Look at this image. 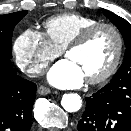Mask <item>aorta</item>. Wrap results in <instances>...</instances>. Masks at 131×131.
I'll use <instances>...</instances> for the list:
<instances>
[{
  "instance_id": "1",
  "label": "aorta",
  "mask_w": 131,
  "mask_h": 131,
  "mask_svg": "<svg viewBox=\"0 0 131 131\" xmlns=\"http://www.w3.org/2000/svg\"><path fill=\"white\" fill-rule=\"evenodd\" d=\"M61 105L67 112H76L82 106V99L76 93H67L63 95Z\"/></svg>"
}]
</instances>
